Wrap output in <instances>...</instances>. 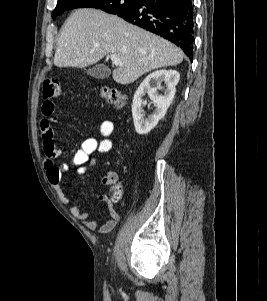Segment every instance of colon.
<instances>
[{
	"label": "colon",
	"mask_w": 267,
	"mask_h": 301,
	"mask_svg": "<svg viewBox=\"0 0 267 301\" xmlns=\"http://www.w3.org/2000/svg\"><path fill=\"white\" fill-rule=\"evenodd\" d=\"M100 96L107 102L116 105L120 109L125 107V96L116 89L103 87L100 89ZM61 95V89L57 81L53 79H46L43 82V97L45 99H52ZM112 199L118 201L122 196V188L119 184L115 183L111 190Z\"/></svg>",
	"instance_id": "5ec220e1"
}]
</instances>
